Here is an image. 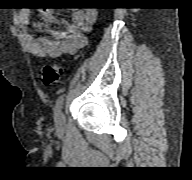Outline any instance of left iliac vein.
Returning a JSON list of instances; mask_svg holds the SVG:
<instances>
[{"instance_id":"left-iliac-vein-1","label":"left iliac vein","mask_w":192,"mask_h":180,"mask_svg":"<svg viewBox=\"0 0 192 180\" xmlns=\"http://www.w3.org/2000/svg\"><path fill=\"white\" fill-rule=\"evenodd\" d=\"M65 123H66L65 115L62 112L58 113L56 119V129L58 131H63L65 128Z\"/></svg>"}]
</instances>
